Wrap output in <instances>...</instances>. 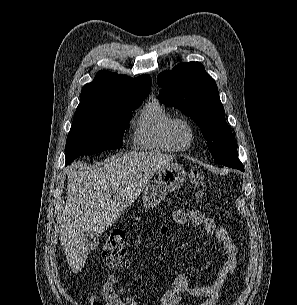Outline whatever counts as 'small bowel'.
Here are the masks:
<instances>
[{"instance_id":"c3829d8e","label":"small bowel","mask_w":297,"mask_h":305,"mask_svg":"<svg viewBox=\"0 0 297 305\" xmlns=\"http://www.w3.org/2000/svg\"><path fill=\"white\" fill-rule=\"evenodd\" d=\"M173 221L178 225L201 226L208 234L215 235L223 244L225 255L214 282L210 285L194 287L190 285L184 273L176 274L171 287L160 297V305H179L183 295L201 299L198 305H216L222 296V290L236 268L237 249L228 232L219 226L216 219L205 216L199 210L185 211L177 209L172 214ZM167 234V227L162 226L160 235ZM102 297L106 305H138V302L126 290L120 288L118 276L110 271L103 283ZM91 305H102L94 298Z\"/></svg>"}]
</instances>
